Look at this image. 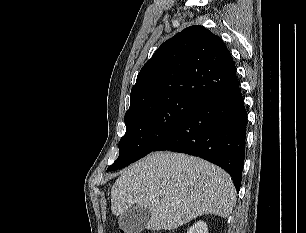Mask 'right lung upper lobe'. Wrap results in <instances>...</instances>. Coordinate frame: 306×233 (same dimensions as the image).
I'll return each instance as SVG.
<instances>
[{
    "mask_svg": "<svg viewBox=\"0 0 306 233\" xmlns=\"http://www.w3.org/2000/svg\"><path fill=\"white\" fill-rule=\"evenodd\" d=\"M237 83L223 40L202 26H190L164 42L143 66L127 112L178 97L202 104Z\"/></svg>",
    "mask_w": 306,
    "mask_h": 233,
    "instance_id": "1",
    "label": "right lung upper lobe"
}]
</instances>
